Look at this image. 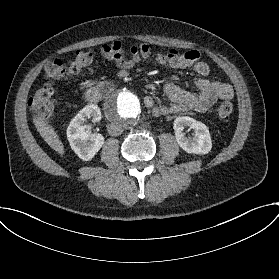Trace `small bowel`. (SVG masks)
Instances as JSON below:
<instances>
[{
    "label": "small bowel",
    "mask_w": 279,
    "mask_h": 279,
    "mask_svg": "<svg viewBox=\"0 0 279 279\" xmlns=\"http://www.w3.org/2000/svg\"><path fill=\"white\" fill-rule=\"evenodd\" d=\"M101 55L103 61L111 62L124 71L133 69L141 60H147L173 69L183 70L191 67L200 76L193 82L196 93L186 91L170 80H166L163 88L168 98L167 104L156 105L152 97H146L144 105L156 117L189 110L205 112L217 99L233 97V89L230 84L222 80L207 78L211 72L210 67L200 60V53L197 50L180 52L171 49L155 53L148 45L139 44L132 46L127 54L120 42L114 41L102 46Z\"/></svg>",
    "instance_id": "c3829d8e"
}]
</instances>
